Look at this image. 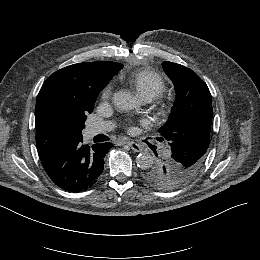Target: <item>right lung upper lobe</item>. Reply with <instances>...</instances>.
Wrapping results in <instances>:
<instances>
[{
    "instance_id": "1",
    "label": "right lung upper lobe",
    "mask_w": 260,
    "mask_h": 260,
    "mask_svg": "<svg viewBox=\"0 0 260 260\" xmlns=\"http://www.w3.org/2000/svg\"><path fill=\"white\" fill-rule=\"evenodd\" d=\"M123 67L116 62H88L53 73L42 85L35 107L36 144L42 163L65 145L82 138L81 131L63 124L62 110L86 91H101Z\"/></svg>"
}]
</instances>
